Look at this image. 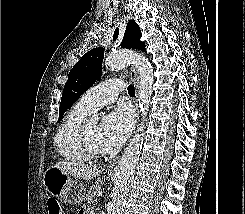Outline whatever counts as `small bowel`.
I'll return each instance as SVG.
<instances>
[{
	"mask_svg": "<svg viewBox=\"0 0 245 214\" xmlns=\"http://www.w3.org/2000/svg\"><path fill=\"white\" fill-rule=\"evenodd\" d=\"M78 214H95L93 209L90 206H83L78 211Z\"/></svg>",
	"mask_w": 245,
	"mask_h": 214,
	"instance_id": "small-bowel-1",
	"label": "small bowel"
}]
</instances>
